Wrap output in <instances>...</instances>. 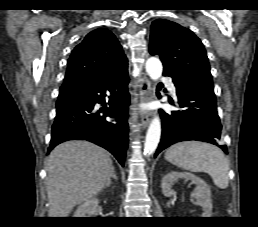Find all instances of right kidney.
Wrapping results in <instances>:
<instances>
[{
    "mask_svg": "<svg viewBox=\"0 0 258 227\" xmlns=\"http://www.w3.org/2000/svg\"><path fill=\"white\" fill-rule=\"evenodd\" d=\"M99 200L89 199L81 204L74 213V217H92L98 209Z\"/></svg>",
    "mask_w": 258,
    "mask_h": 227,
    "instance_id": "1",
    "label": "right kidney"
}]
</instances>
